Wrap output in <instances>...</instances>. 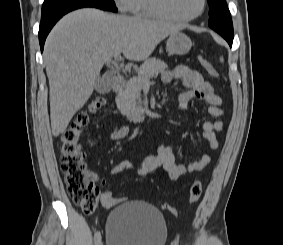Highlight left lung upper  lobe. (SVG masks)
Returning a JSON list of instances; mask_svg holds the SVG:
<instances>
[{"mask_svg": "<svg viewBox=\"0 0 283 245\" xmlns=\"http://www.w3.org/2000/svg\"><path fill=\"white\" fill-rule=\"evenodd\" d=\"M209 11V26L222 37H233V24L226 0H207Z\"/></svg>", "mask_w": 283, "mask_h": 245, "instance_id": "1", "label": "left lung upper lobe"}]
</instances>
